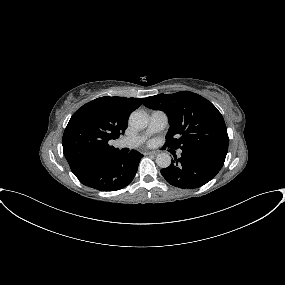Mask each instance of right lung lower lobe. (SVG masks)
Returning <instances> with one entry per match:
<instances>
[{"label": "right lung lower lobe", "instance_id": "1", "mask_svg": "<svg viewBox=\"0 0 285 285\" xmlns=\"http://www.w3.org/2000/svg\"><path fill=\"white\" fill-rule=\"evenodd\" d=\"M142 154L116 151L83 165L73 173L79 181L100 191L119 190L131 183L136 175Z\"/></svg>", "mask_w": 285, "mask_h": 285}]
</instances>
